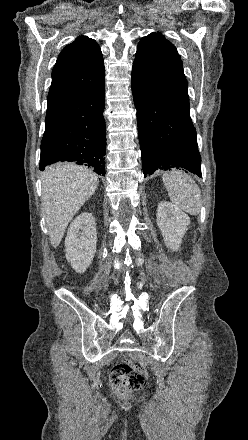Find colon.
<instances>
[{
    "mask_svg": "<svg viewBox=\"0 0 248 440\" xmlns=\"http://www.w3.org/2000/svg\"><path fill=\"white\" fill-rule=\"evenodd\" d=\"M110 383L117 395L127 396L146 385L147 372L140 360L135 355L129 353L125 355L122 363L112 368Z\"/></svg>",
    "mask_w": 248,
    "mask_h": 440,
    "instance_id": "1",
    "label": "colon"
}]
</instances>
